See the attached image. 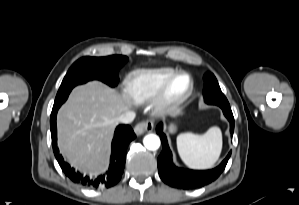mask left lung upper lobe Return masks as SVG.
Wrapping results in <instances>:
<instances>
[{
	"label": "left lung upper lobe",
	"mask_w": 299,
	"mask_h": 205,
	"mask_svg": "<svg viewBox=\"0 0 299 205\" xmlns=\"http://www.w3.org/2000/svg\"><path fill=\"white\" fill-rule=\"evenodd\" d=\"M205 87H204V100L206 103H218L227 101L226 97L222 93L217 79L213 74H205L204 76Z\"/></svg>",
	"instance_id": "obj_1"
}]
</instances>
